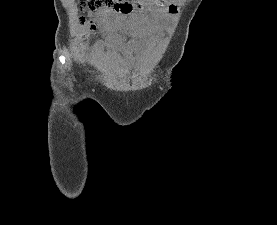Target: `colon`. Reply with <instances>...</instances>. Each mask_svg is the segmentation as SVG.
<instances>
[{"label":"colon","mask_w":277,"mask_h":225,"mask_svg":"<svg viewBox=\"0 0 277 225\" xmlns=\"http://www.w3.org/2000/svg\"><path fill=\"white\" fill-rule=\"evenodd\" d=\"M79 8L92 12L112 11L121 14H128L135 9V5L126 0H79ZM85 34L89 35L94 31V26L85 19L80 21Z\"/></svg>","instance_id":"1"}]
</instances>
